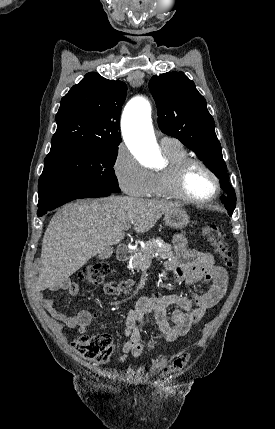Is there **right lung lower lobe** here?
Returning <instances> with one entry per match:
<instances>
[{"mask_svg":"<svg viewBox=\"0 0 275 429\" xmlns=\"http://www.w3.org/2000/svg\"><path fill=\"white\" fill-rule=\"evenodd\" d=\"M112 192L89 189V188H74L63 190L54 194H51L45 198L39 199L38 202V216H43L47 211H51L71 200L79 198H89V197H105L109 196Z\"/></svg>","mask_w":275,"mask_h":429,"instance_id":"right-lung-lower-lobe-1","label":"right lung lower lobe"}]
</instances>
